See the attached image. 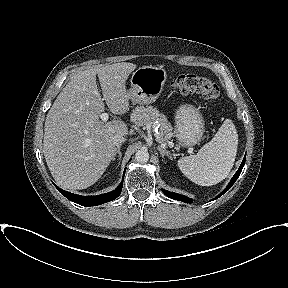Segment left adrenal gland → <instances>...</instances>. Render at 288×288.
I'll return each instance as SVG.
<instances>
[{"label":"left adrenal gland","mask_w":288,"mask_h":288,"mask_svg":"<svg viewBox=\"0 0 288 288\" xmlns=\"http://www.w3.org/2000/svg\"><path fill=\"white\" fill-rule=\"evenodd\" d=\"M158 151L160 152L161 156L164 158V156H168L170 159H173L175 157V154H171L164 146H158Z\"/></svg>","instance_id":"1"}]
</instances>
